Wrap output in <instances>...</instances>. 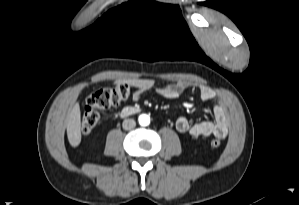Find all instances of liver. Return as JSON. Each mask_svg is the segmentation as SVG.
I'll return each instance as SVG.
<instances>
[{
  "mask_svg": "<svg viewBox=\"0 0 299 205\" xmlns=\"http://www.w3.org/2000/svg\"><path fill=\"white\" fill-rule=\"evenodd\" d=\"M67 137L72 147L81 142V113L79 103H75L67 115Z\"/></svg>",
  "mask_w": 299,
  "mask_h": 205,
  "instance_id": "1",
  "label": "liver"
}]
</instances>
